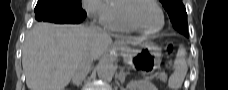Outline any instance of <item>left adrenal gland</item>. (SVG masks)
<instances>
[{
    "mask_svg": "<svg viewBox=\"0 0 228 90\" xmlns=\"http://www.w3.org/2000/svg\"><path fill=\"white\" fill-rule=\"evenodd\" d=\"M126 76H127V73H125L123 70H121L118 75V80L121 82V84L124 83Z\"/></svg>",
    "mask_w": 228,
    "mask_h": 90,
    "instance_id": "left-adrenal-gland-1",
    "label": "left adrenal gland"
}]
</instances>
